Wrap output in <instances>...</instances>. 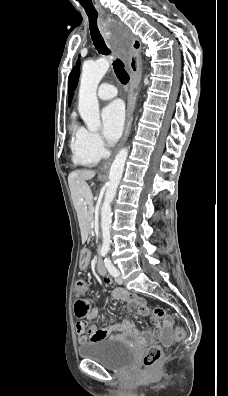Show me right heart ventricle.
<instances>
[{"mask_svg":"<svg viewBox=\"0 0 228 396\" xmlns=\"http://www.w3.org/2000/svg\"><path fill=\"white\" fill-rule=\"evenodd\" d=\"M71 148L73 151L74 161L78 164L84 166H93L99 161V158L90 153L84 146L79 136V129L74 131Z\"/></svg>","mask_w":228,"mask_h":396,"instance_id":"right-heart-ventricle-1","label":"right heart ventricle"}]
</instances>
